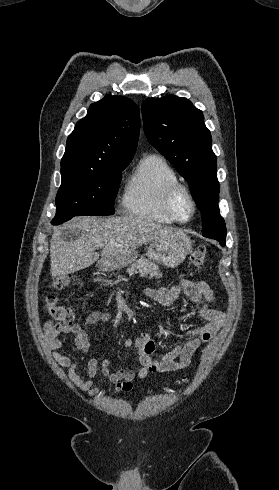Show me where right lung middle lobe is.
<instances>
[{"instance_id":"dd1d6c3e","label":"right lung middle lobe","mask_w":279,"mask_h":490,"mask_svg":"<svg viewBox=\"0 0 279 490\" xmlns=\"http://www.w3.org/2000/svg\"><path fill=\"white\" fill-rule=\"evenodd\" d=\"M128 165V164H127ZM127 165L103 169H61L62 183L56 196V216L59 225L79 215H112L114 200L122 173Z\"/></svg>"}]
</instances>
